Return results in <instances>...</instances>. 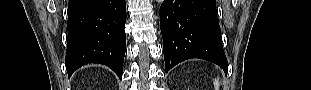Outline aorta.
Returning <instances> with one entry per match:
<instances>
[{
  "label": "aorta",
  "mask_w": 311,
  "mask_h": 90,
  "mask_svg": "<svg viewBox=\"0 0 311 90\" xmlns=\"http://www.w3.org/2000/svg\"><path fill=\"white\" fill-rule=\"evenodd\" d=\"M157 2H158V3H162V2H163V0H157Z\"/></svg>",
  "instance_id": "aorta-1"
}]
</instances>
